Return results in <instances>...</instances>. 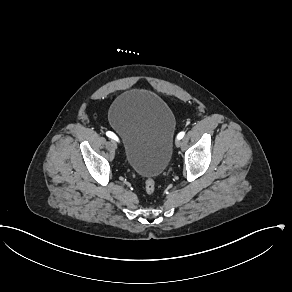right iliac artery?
<instances>
[{
	"label": "right iliac artery",
	"instance_id": "obj_1",
	"mask_svg": "<svg viewBox=\"0 0 292 292\" xmlns=\"http://www.w3.org/2000/svg\"><path fill=\"white\" fill-rule=\"evenodd\" d=\"M106 135H107L109 138H112V139L118 141L117 136H116L113 132L108 131V132H106Z\"/></svg>",
	"mask_w": 292,
	"mask_h": 292
}]
</instances>
